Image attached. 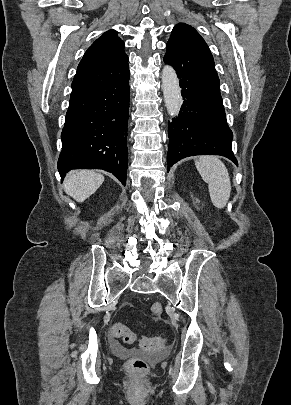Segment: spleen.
I'll list each match as a JSON object with an SVG mask.
<instances>
[{"label":"spleen","mask_w":291,"mask_h":405,"mask_svg":"<svg viewBox=\"0 0 291 405\" xmlns=\"http://www.w3.org/2000/svg\"><path fill=\"white\" fill-rule=\"evenodd\" d=\"M203 180L208 184L213 205L224 208L231 193V182L228 171L221 160L215 156H202L195 162Z\"/></svg>","instance_id":"obj_1"}]
</instances>
